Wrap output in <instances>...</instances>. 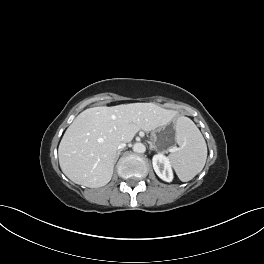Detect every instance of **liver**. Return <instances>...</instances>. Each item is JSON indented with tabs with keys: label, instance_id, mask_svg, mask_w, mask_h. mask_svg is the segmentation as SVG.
Returning a JSON list of instances; mask_svg holds the SVG:
<instances>
[{
	"label": "liver",
	"instance_id": "1",
	"mask_svg": "<svg viewBox=\"0 0 264 264\" xmlns=\"http://www.w3.org/2000/svg\"><path fill=\"white\" fill-rule=\"evenodd\" d=\"M174 113L153 103L88 108L65 131L58 148L62 172L74 183L90 188L112 178L117 146L130 142L140 130L167 125Z\"/></svg>",
	"mask_w": 264,
	"mask_h": 264
}]
</instances>
